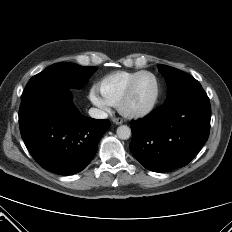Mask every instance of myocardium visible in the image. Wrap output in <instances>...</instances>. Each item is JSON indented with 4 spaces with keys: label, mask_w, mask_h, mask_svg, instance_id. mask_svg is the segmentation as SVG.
Segmentation results:
<instances>
[{
    "label": "myocardium",
    "mask_w": 232,
    "mask_h": 232,
    "mask_svg": "<svg viewBox=\"0 0 232 232\" xmlns=\"http://www.w3.org/2000/svg\"><path fill=\"white\" fill-rule=\"evenodd\" d=\"M144 75H149L154 79V81L156 83L155 96H154L153 100L151 101V103L149 105H147L146 107L139 109V110H129L127 108V104L131 99L135 85H136L137 81L139 80V78H141ZM160 95H161V84H160L158 77L150 71H141L129 83L127 89L125 90L123 96L121 97V99L119 101L118 110L123 116L128 117V118L144 117L154 110V108L156 107V105L160 99Z\"/></svg>",
    "instance_id": "f54148a6"
}]
</instances>
